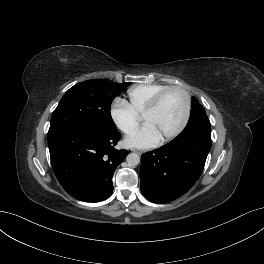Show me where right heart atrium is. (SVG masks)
<instances>
[{"label":"right heart atrium","mask_w":264,"mask_h":264,"mask_svg":"<svg viewBox=\"0 0 264 264\" xmlns=\"http://www.w3.org/2000/svg\"><path fill=\"white\" fill-rule=\"evenodd\" d=\"M114 125L124 134H131L140 122V116L124 100H116L110 107Z\"/></svg>","instance_id":"right-heart-atrium-1"}]
</instances>
